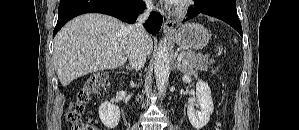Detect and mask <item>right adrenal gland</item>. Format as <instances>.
I'll return each instance as SVG.
<instances>
[{"label":"right adrenal gland","instance_id":"obj_1","mask_svg":"<svg viewBox=\"0 0 299 130\" xmlns=\"http://www.w3.org/2000/svg\"><path fill=\"white\" fill-rule=\"evenodd\" d=\"M126 69H127L129 72H133V71H134L133 68L130 67V66H126Z\"/></svg>","mask_w":299,"mask_h":130}]
</instances>
